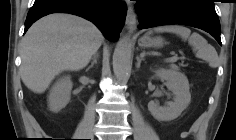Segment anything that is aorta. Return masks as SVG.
I'll list each match as a JSON object with an SVG mask.
<instances>
[{
	"mask_svg": "<svg viewBox=\"0 0 236 140\" xmlns=\"http://www.w3.org/2000/svg\"><path fill=\"white\" fill-rule=\"evenodd\" d=\"M132 53V42L128 36L121 38L113 54V71L117 78H123L130 65Z\"/></svg>",
	"mask_w": 236,
	"mask_h": 140,
	"instance_id": "1",
	"label": "aorta"
}]
</instances>
